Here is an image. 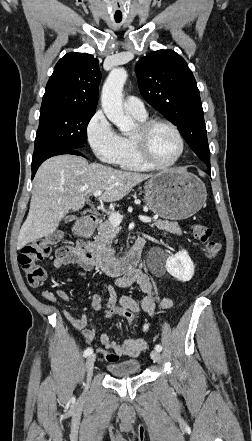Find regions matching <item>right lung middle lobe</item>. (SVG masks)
Here are the masks:
<instances>
[{
	"instance_id": "right-lung-middle-lobe-1",
	"label": "right lung middle lobe",
	"mask_w": 252,
	"mask_h": 441,
	"mask_svg": "<svg viewBox=\"0 0 252 441\" xmlns=\"http://www.w3.org/2000/svg\"><path fill=\"white\" fill-rule=\"evenodd\" d=\"M95 111L41 109L32 162L63 150L80 149L87 141V125Z\"/></svg>"
}]
</instances>
